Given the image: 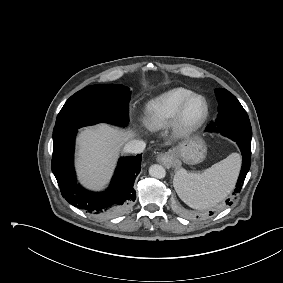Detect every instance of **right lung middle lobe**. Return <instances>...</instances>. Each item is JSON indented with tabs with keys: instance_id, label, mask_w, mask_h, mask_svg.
Returning a JSON list of instances; mask_svg holds the SVG:
<instances>
[{
	"instance_id": "right-lung-middle-lobe-1",
	"label": "right lung middle lobe",
	"mask_w": 283,
	"mask_h": 283,
	"mask_svg": "<svg viewBox=\"0 0 283 283\" xmlns=\"http://www.w3.org/2000/svg\"><path fill=\"white\" fill-rule=\"evenodd\" d=\"M130 95L129 88L114 84H97L76 92L57 116L53 143L81 127L99 122L126 126Z\"/></svg>"
}]
</instances>
